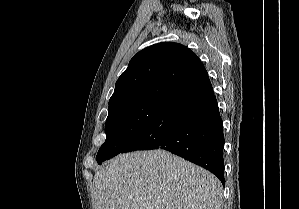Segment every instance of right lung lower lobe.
<instances>
[{"mask_svg": "<svg viewBox=\"0 0 299 209\" xmlns=\"http://www.w3.org/2000/svg\"><path fill=\"white\" fill-rule=\"evenodd\" d=\"M223 146L222 119L204 72L166 99L120 153L165 149L211 171L225 185Z\"/></svg>", "mask_w": 299, "mask_h": 209, "instance_id": "98d812e1", "label": "right lung lower lobe"}]
</instances>
